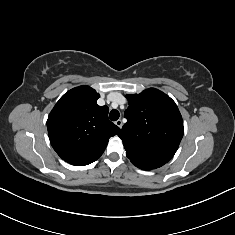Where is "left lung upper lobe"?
Listing matches in <instances>:
<instances>
[{
    "label": "left lung upper lobe",
    "instance_id": "5c2ea615",
    "mask_svg": "<svg viewBox=\"0 0 235 235\" xmlns=\"http://www.w3.org/2000/svg\"><path fill=\"white\" fill-rule=\"evenodd\" d=\"M126 97L127 122L118 133L126 155L140 169L159 168L174 156L183 137L179 109L169 96L155 88Z\"/></svg>",
    "mask_w": 235,
    "mask_h": 235
}]
</instances>
